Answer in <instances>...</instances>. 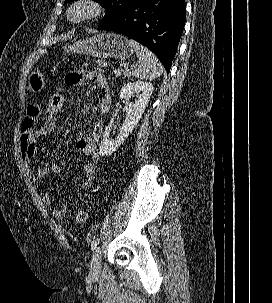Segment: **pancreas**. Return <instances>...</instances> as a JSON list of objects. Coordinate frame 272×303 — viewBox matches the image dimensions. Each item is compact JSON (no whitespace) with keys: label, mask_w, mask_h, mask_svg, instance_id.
Returning <instances> with one entry per match:
<instances>
[{"label":"pancreas","mask_w":272,"mask_h":303,"mask_svg":"<svg viewBox=\"0 0 272 303\" xmlns=\"http://www.w3.org/2000/svg\"><path fill=\"white\" fill-rule=\"evenodd\" d=\"M113 73H114L115 75H117V76L121 75V71H120V70L114 69V70H113ZM123 75L126 76V77H131L132 72H131L130 70H128V69H125V71H123Z\"/></svg>","instance_id":"pancreas-1"}]
</instances>
